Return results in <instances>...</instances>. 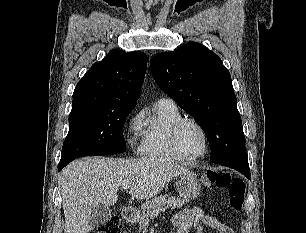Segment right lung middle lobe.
Masks as SVG:
<instances>
[{
    "instance_id": "dd1d6c3e",
    "label": "right lung middle lobe",
    "mask_w": 306,
    "mask_h": 233,
    "mask_svg": "<svg viewBox=\"0 0 306 233\" xmlns=\"http://www.w3.org/2000/svg\"><path fill=\"white\" fill-rule=\"evenodd\" d=\"M133 108L72 106L69 132L62 147L60 163L78 157L125 151L123 125Z\"/></svg>"
}]
</instances>
